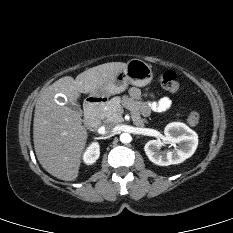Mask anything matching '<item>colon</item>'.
Masks as SVG:
<instances>
[{"mask_svg":"<svg viewBox=\"0 0 233 233\" xmlns=\"http://www.w3.org/2000/svg\"><path fill=\"white\" fill-rule=\"evenodd\" d=\"M161 86L171 92L175 93L179 90V82L177 80V76L173 71H166L160 77ZM200 114L198 111H191L188 115L187 121L190 125L195 126L199 123Z\"/></svg>","mask_w":233,"mask_h":233,"instance_id":"obj_1","label":"colon"}]
</instances>
